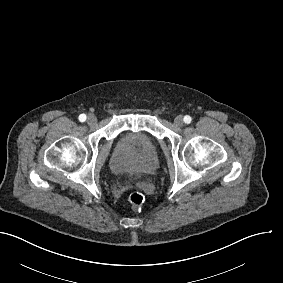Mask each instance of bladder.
Masks as SVG:
<instances>
[{
	"label": "bladder",
	"instance_id": "1",
	"mask_svg": "<svg viewBox=\"0 0 283 283\" xmlns=\"http://www.w3.org/2000/svg\"><path fill=\"white\" fill-rule=\"evenodd\" d=\"M115 173L127 180H143L155 173L160 157L157 143L147 130L118 134L112 146Z\"/></svg>",
	"mask_w": 283,
	"mask_h": 283
}]
</instances>
